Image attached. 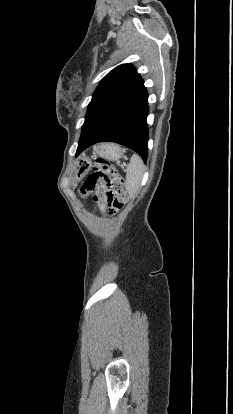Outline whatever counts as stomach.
<instances>
[{"label":"stomach","instance_id":"1","mask_svg":"<svg viewBox=\"0 0 233 414\" xmlns=\"http://www.w3.org/2000/svg\"><path fill=\"white\" fill-rule=\"evenodd\" d=\"M97 153L99 156L109 159L111 161L118 160L122 157V151L120 147L114 144L100 145L97 150ZM91 165L92 163L89 158L83 157L79 159L75 167V177L79 179L81 176L84 175L85 172H87L90 169Z\"/></svg>","mask_w":233,"mask_h":414}]
</instances>
